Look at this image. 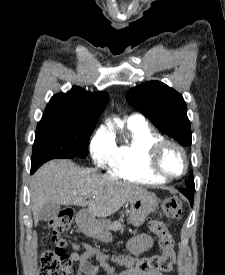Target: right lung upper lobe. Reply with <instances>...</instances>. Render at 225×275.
Returning <instances> with one entry per match:
<instances>
[{
    "mask_svg": "<svg viewBox=\"0 0 225 275\" xmlns=\"http://www.w3.org/2000/svg\"><path fill=\"white\" fill-rule=\"evenodd\" d=\"M108 102L105 92L90 93L74 86L68 93H58L49 101L41 120H71L96 124Z\"/></svg>",
    "mask_w": 225,
    "mask_h": 275,
    "instance_id": "right-lung-upper-lobe-1",
    "label": "right lung upper lobe"
}]
</instances>
